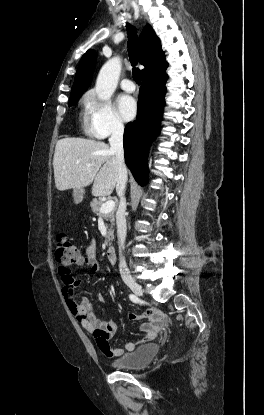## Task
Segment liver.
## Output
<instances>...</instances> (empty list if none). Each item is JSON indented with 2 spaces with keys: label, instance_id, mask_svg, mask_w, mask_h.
Listing matches in <instances>:
<instances>
[{
  "label": "liver",
  "instance_id": "1",
  "mask_svg": "<svg viewBox=\"0 0 264 415\" xmlns=\"http://www.w3.org/2000/svg\"><path fill=\"white\" fill-rule=\"evenodd\" d=\"M56 188H83L93 181L92 194H112L117 183V162L108 144L84 138H64L56 143L53 158Z\"/></svg>",
  "mask_w": 264,
  "mask_h": 415
}]
</instances>
